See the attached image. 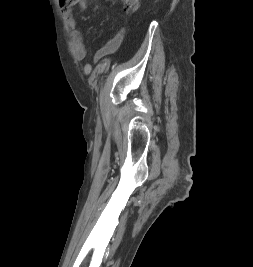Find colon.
<instances>
[{
  "mask_svg": "<svg viewBox=\"0 0 253 267\" xmlns=\"http://www.w3.org/2000/svg\"><path fill=\"white\" fill-rule=\"evenodd\" d=\"M80 0H60V4L64 7H70L78 3ZM126 12H133L137 10L139 0H122Z\"/></svg>",
  "mask_w": 253,
  "mask_h": 267,
  "instance_id": "5ec220e1",
  "label": "colon"
}]
</instances>
